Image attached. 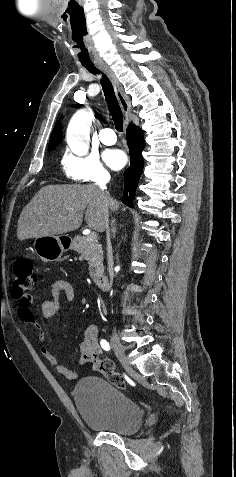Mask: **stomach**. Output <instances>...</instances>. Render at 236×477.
I'll return each instance as SVG.
<instances>
[{"instance_id": "0dacf381", "label": "stomach", "mask_w": 236, "mask_h": 477, "mask_svg": "<svg viewBox=\"0 0 236 477\" xmlns=\"http://www.w3.org/2000/svg\"><path fill=\"white\" fill-rule=\"evenodd\" d=\"M70 247L64 236H42L34 241V250L43 261L58 260Z\"/></svg>"}]
</instances>
